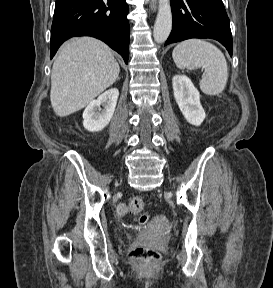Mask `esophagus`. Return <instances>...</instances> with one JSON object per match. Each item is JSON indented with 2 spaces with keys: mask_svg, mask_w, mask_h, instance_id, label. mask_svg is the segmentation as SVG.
Segmentation results:
<instances>
[{
  "mask_svg": "<svg viewBox=\"0 0 273 288\" xmlns=\"http://www.w3.org/2000/svg\"><path fill=\"white\" fill-rule=\"evenodd\" d=\"M150 7L153 11H155L157 7V0H151Z\"/></svg>",
  "mask_w": 273,
  "mask_h": 288,
  "instance_id": "obj_1",
  "label": "esophagus"
}]
</instances>
